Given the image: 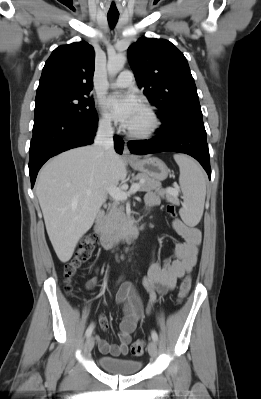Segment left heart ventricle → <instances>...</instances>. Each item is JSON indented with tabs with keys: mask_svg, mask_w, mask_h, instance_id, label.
<instances>
[{
	"mask_svg": "<svg viewBox=\"0 0 261 399\" xmlns=\"http://www.w3.org/2000/svg\"><path fill=\"white\" fill-rule=\"evenodd\" d=\"M149 125V119L144 109L136 116L129 129L134 131H140L145 129Z\"/></svg>",
	"mask_w": 261,
	"mask_h": 399,
	"instance_id": "obj_1",
	"label": "left heart ventricle"
}]
</instances>
